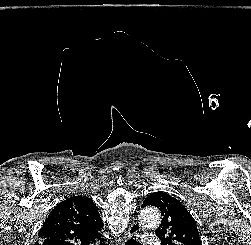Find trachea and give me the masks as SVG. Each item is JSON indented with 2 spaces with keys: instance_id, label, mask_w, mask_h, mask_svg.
<instances>
[{
  "instance_id": "trachea-1",
  "label": "trachea",
  "mask_w": 251,
  "mask_h": 245,
  "mask_svg": "<svg viewBox=\"0 0 251 245\" xmlns=\"http://www.w3.org/2000/svg\"><path fill=\"white\" fill-rule=\"evenodd\" d=\"M125 245H141V244L131 238L125 243Z\"/></svg>"
}]
</instances>
